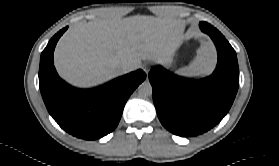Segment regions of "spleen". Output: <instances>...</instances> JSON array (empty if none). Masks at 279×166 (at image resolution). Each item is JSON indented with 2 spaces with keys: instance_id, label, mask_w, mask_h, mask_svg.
Here are the masks:
<instances>
[{
  "instance_id": "spleen-1",
  "label": "spleen",
  "mask_w": 279,
  "mask_h": 166,
  "mask_svg": "<svg viewBox=\"0 0 279 166\" xmlns=\"http://www.w3.org/2000/svg\"><path fill=\"white\" fill-rule=\"evenodd\" d=\"M215 64V48L211 42L204 41L197 50L194 61L188 67L181 68L179 73L186 76L204 75L212 72Z\"/></svg>"
}]
</instances>
